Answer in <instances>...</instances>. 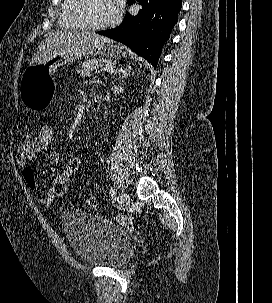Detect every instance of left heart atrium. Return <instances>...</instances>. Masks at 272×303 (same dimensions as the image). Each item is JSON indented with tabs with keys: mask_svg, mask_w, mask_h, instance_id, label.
<instances>
[{
	"mask_svg": "<svg viewBox=\"0 0 272 303\" xmlns=\"http://www.w3.org/2000/svg\"><path fill=\"white\" fill-rule=\"evenodd\" d=\"M112 2V10H113V14H114V17L117 16L120 11H121V0H111Z\"/></svg>",
	"mask_w": 272,
	"mask_h": 303,
	"instance_id": "obj_1",
	"label": "left heart atrium"
}]
</instances>
